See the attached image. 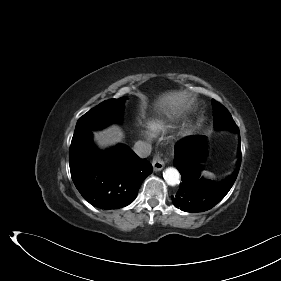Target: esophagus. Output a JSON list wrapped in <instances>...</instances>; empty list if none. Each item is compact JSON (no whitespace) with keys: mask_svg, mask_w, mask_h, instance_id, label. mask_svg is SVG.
Instances as JSON below:
<instances>
[{"mask_svg":"<svg viewBox=\"0 0 281 281\" xmlns=\"http://www.w3.org/2000/svg\"><path fill=\"white\" fill-rule=\"evenodd\" d=\"M164 165H165V161L159 155H156L153 158L152 166H153L154 171L157 172V171L162 170Z\"/></svg>","mask_w":281,"mask_h":281,"instance_id":"obj_1","label":"esophagus"}]
</instances>
